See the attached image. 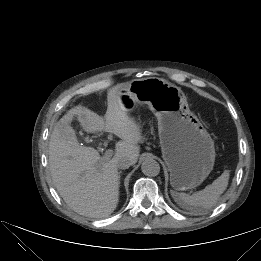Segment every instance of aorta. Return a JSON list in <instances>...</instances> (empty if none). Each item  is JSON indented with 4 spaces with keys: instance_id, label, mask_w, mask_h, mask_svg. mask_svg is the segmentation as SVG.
<instances>
[{
    "instance_id": "762f6f07",
    "label": "aorta",
    "mask_w": 261,
    "mask_h": 261,
    "mask_svg": "<svg viewBox=\"0 0 261 261\" xmlns=\"http://www.w3.org/2000/svg\"><path fill=\"white\" fill-rule=\"evenodd\" d=\"M141 170L143 174L149 177L157 176L160 172V165L154 159H146L141 165Z\"/></svg>"
}]
</instances>
